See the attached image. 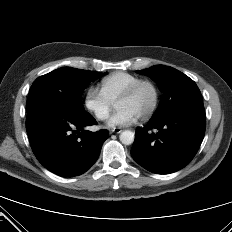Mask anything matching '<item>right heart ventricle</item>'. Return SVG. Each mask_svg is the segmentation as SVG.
<instances>
[{
    "label": "right heart ventricle",
    "instance_id": "right-heart-ventricle-1",
    "mask_svg": "<svg viewBox=\"0 0 232 232\" xmlns=\"http://www.w3.org/2000/svg\"><path fill=\"white\" fill-rule=\"evenodd\" d=\"M142 78L127 72H114L103 77L99 83V91L114 103L131 85Z\"/></svg>",
    "mask_w": 232,
    "mask_h": 232
}]
</instances>
